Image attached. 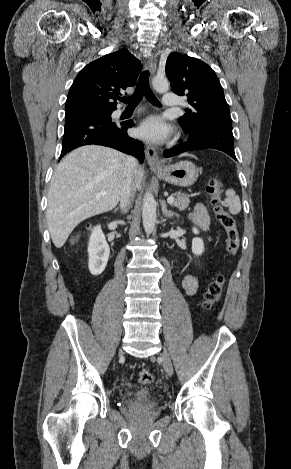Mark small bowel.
<instances>
[{
    "label": "small bowel",
    "instance_id": "small-bowel-1",
    "mask_svg": "<svg viewBox=\"0 0 291 469\" xmlns=\"http://www.w3.org/2000/svg\"><path fill=\"white\" fill-rule=\"evenodd\" d=\"M192 221L200 228L206 229L209 225V216L202 204H198L191 214ZM182 287L186 294L193 295L197 291L198 281L191 275H186L182 279Z\"/></svg>",
    "mask_w": 291,
    "mask_h": 469
}]
</instances>
